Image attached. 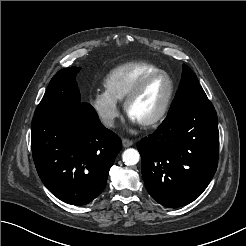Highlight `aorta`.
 I'll list each match as a JSON object with an SVG mask.
<instances>
[{
    "label": "aorta",
    "mask_w": 246,
    "mask_h": 246,
    "mask_svg": "<svg viewBox=\"0 0 246 246\" xmlns=\"http://www.w3.org/2000/svg\"><path fill=\"white\" fill-rule=\"evenodd\" d=\"M140 154L136 149H126L122 154V160L127 166L136 165L139 162Z\"/></svg>",
    "instance_id": "1"
}]
</instances>
